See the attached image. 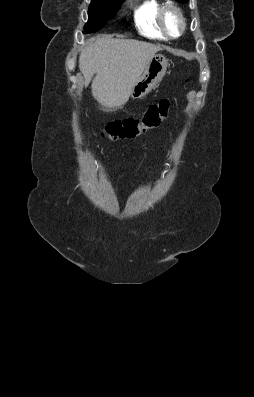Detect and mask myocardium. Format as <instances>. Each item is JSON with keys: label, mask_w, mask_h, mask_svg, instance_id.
<instances>
[{"label": "myocardium", "mask_w": 254, "mask_h": 397, "mask_svg": "<svg viewBox=\"0 0 254 397\" xmlns=\"http://www.w3.org/2000/svg\"><path fill=\"white\" fill-rule=\"evenodd\" d=\"M168 12H173L174 14H176V16L180 20L181 27H180V31L177 35L171 34L170 31L166 27L165 17ZM158 23H159V26H160L162 32L166 35L167 38H170V39L179 38L184 33V31L186 29V18L184 16V13L182 12L181 8L175 4H165L160 8L159 13H158Z\"/></svg>", "instance_id": "myocardium-1"}]
</instances>
